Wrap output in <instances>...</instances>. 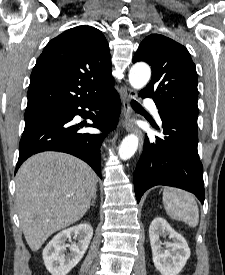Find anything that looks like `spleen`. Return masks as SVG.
<instances>
[{
    "label": "spleen",
    "mask_w": 225,
    "mask_h": 275,
    "mask_svg": "<svg viewBox=\"0 0 225 275\" xmlns=\"http://www.w3.org/2000/svg\"><path fill=\"white\" fill-rule=\"evenodd\" d=\"M163 205L167 215L195 227L199 222V209L194 197L183 190L166 187L163 190Z\"/></svg>",
    "instance_id": "obj_1"
}]
</instances>
